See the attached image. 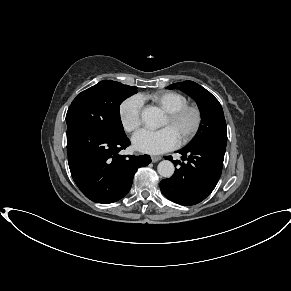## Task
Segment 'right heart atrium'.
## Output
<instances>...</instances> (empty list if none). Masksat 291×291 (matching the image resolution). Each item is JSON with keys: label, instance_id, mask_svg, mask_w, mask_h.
I'll list each match as a JSON object with an SVG mask.
<instances>
[{"label": "right heart atrium", "instance_id": "right-heart-atrium-1", "mask_svg": "<svg viewBox=\"0 0 291 291\" xmlns=\"http://www.w3.org/2000/svg\"><path fill=\"white\" fill-rule=\"evenodd\" d=\"M142 105V100L136 95L129 96L120 103L118 117L126 132H135L140 127Z\"/></svg>", "mask_w": 291, "mask_h": 291}]
</instances>
